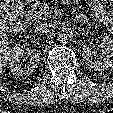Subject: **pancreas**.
I'll use <instances>...</instances> for the list:
<instances>
[{"instance_id": "obj_1", "label": "pancreas", "mask_w": 113, "mask_h": 113, "mask_svg": "<svg viewBox=\"0 0 113 113\" xmlns=\"http://www.w3.org/2000/svg\"><path fill=\"white\" fill-rule=\"evenodd\" d=\"M48 9L49 8L46 4L37 1L30 7L28 11L29 19L33 23H41L46 21L49 17Z\"/></svg>"}]
</instances>
